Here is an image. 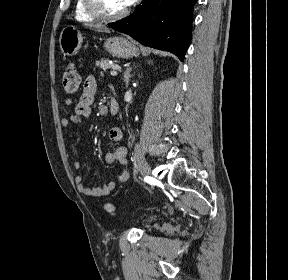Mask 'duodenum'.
Returning <instances> with one entry per match:
<instances>
[{"label":"duodenum","mask_w":288,"mask_h":280,"mask_svg":"<svg viewBox=\"0 0 288 280\" xmlns=\"http://www.w3.org/2000/svg\"><path fill=\"white\" fill-rule=\"evenodd\" d=\"M119 111V102L117 99H111L109 103V112L111 115H116Z\"/></svg>","instance_id":"410a0bca"}]
</instances>
